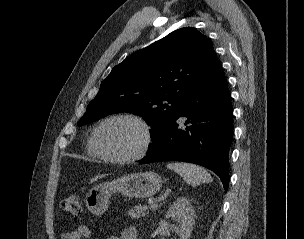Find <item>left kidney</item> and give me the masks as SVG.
I'll list each match as a JSON object with an SVG mask.
<instances>
[{"mask_svg":"<svg viewBox=\"0 0 304 239\" xmlns=\"http://www.w3.org/2000/svg\"><path fill=\"white\" fill-rule=\"evenodd\" d=\"M166 218H170L175 223L173 228L180 239L190 238L195 222V211L187 198L180 197L173 202L166 213Z\"/></svg>","mask_w":304,"mask_h":239,"instance_id":"1","label":"left kidney"}]
</instances>
